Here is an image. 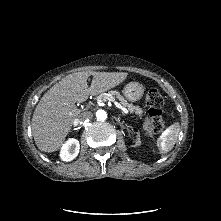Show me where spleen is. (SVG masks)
Segmentation results:
<instances>
[{
	"label": "spleen",
	"mask_w": 221,
	"mask_h": 221,
	"mask_svg": "<svg viewBox=\"0 0 221 221\" xmlns=\"http://www.w3.org/2000/svg\"><path fill=\"white\" fill-rule=\"evenodd\" d=\"M178 123L169 126L158 139V147L161 153L169 152L175 145L177 139Z\"/></svg>",
	"instance_id": "1"
}]
</instances>
